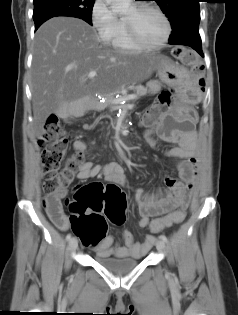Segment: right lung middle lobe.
<instances>
[{"label":"right lung middle lobe","mask_w":238,"mask_h":315,"mask_svg":"<svg viewBox=\"0 0 238 315\" xmlns=\"http://www.w3.org/2000/svg\"><path fill=\"white\" fill-rule=\"evenodd\" d=\"M95 0H34V21L50 15L71 16L92 25V8Z\"/></svg>","instance_id":"obj_1"}]
</instances>
